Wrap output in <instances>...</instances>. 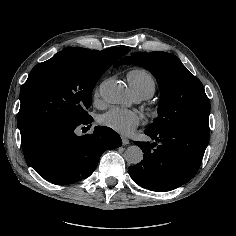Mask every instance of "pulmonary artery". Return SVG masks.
<instances>
[{
	"label": "pulmonary artery",
	"mask_w": 236,
	"mask_h": 236,
	"mask_svg": "<svg viewBox=\"0 0 236 236\" xmlns=\"http://www.w3.org/2000/svg\"><path fill=\"white\" fill-rule=\"evenodd\" d=\"M135 99H136L137 101H141V100H144L145 98L142 97V96H140V95H135Z\"/></svg>",
	"instance_id": "obj_1"
}]
</instances>
